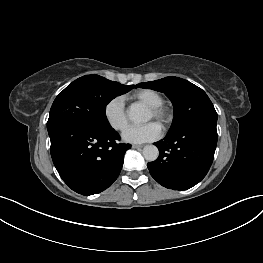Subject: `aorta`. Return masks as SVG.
I'll use <instances>...</instances> for the list:
<instances>
[{"label":"aorta","mask_w":263,"mask_h":263,"mask_svg":"<svg viewBox=\"0 0 263 263\" xmlns=\"http://www.w3.org/2000/svg\"><path fill=\"white\" fill-rule=\"evenodd\" d=\"M129 119L134 123H144L148 120L147 109L140 103H134L128 111ZM159 151L155 145H146L143 148V156L147 161H155L158 158Z\"/></svg>","instance_id":"aorta-1"}]
</instances>
